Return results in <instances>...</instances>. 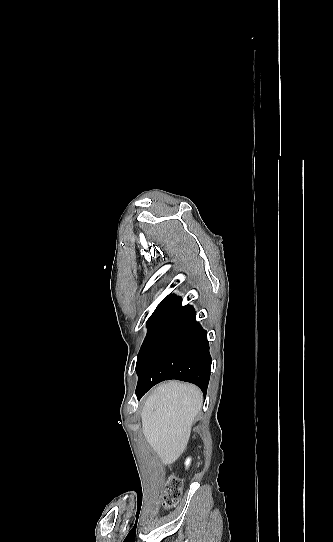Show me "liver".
Wrapping results in <instances>:
<instances>
[{"label": "liver", "mask_w": 333, "mask_h": 542, "mask_svg": "<svg viewBox=\"0 0 333 542\" xmlns=\"http://www.w3.org/2000/svg\"><path fill=\"white\" fill-rule=\"evenodd\" d=\"M202 402L199 388L181 382L160 384L146 400L141 412L142 432L165 466L174 464L186 450Z\"/></svg>", "instance_id": "6515ba94"}]
</instances>
